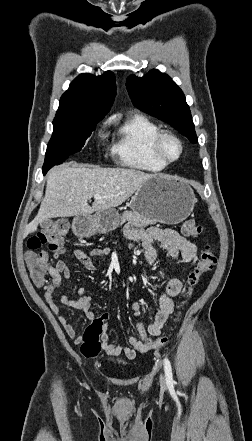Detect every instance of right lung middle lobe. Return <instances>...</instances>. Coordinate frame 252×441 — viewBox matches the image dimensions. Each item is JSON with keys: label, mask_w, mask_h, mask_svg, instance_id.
<instances>
[{"label": "right lung middle lobe", "mask_w": 252, "mask_h": 441, "mask_svg": "<svg viewBox=\"0 0 252 441\" xmlns=\"http://www.w3.org/2000/svg\"><path fill=\"white\" fill-rule=\"evenodd\" d=\"M100 120L56 116L54 131L47 146L43 170L61 164L69 155L82 149Z\"/></svg>", "instance_id": "obj_1"}]
</instances>
